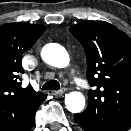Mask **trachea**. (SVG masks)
I'll return each mask as SVG.
<instances>
[{
    "mask_svg": "<svg viewBox=\"0 0 131 131\" xmlns=\"http://www.w3.org/2000/svg\"><path fill=\"white\" fill-rule=\"evenodd\" d=\"M42 90H59L60 83L57 80L47 81L41 88Z\"/></svg>",
    "mask_w": 131,
    "mask_h": 131,
    "instance_id": "1",
    "label": "trachea"
}]
</instances>
